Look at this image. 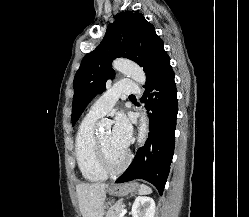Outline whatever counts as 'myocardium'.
Segmentation results:
<instances>
[{
    "label": "myocardium",
    "instance_id": "1",
    "mask_svg": "<svg viewBox=\"0 0 249 217\" xmlns=\"http://www.w3.org/2000/svg\"><path fill=\"white\" fill-rule=\"evenodd\" d=\"M96 148L99 160L103 169L109 174H118L122 172L131 161V153L125 150L123 159L119 163H113L103 146L99 136H96Z\"/></svg>",
    "mask_w": 249,
    "mask_h": 217
}]
</instances>
